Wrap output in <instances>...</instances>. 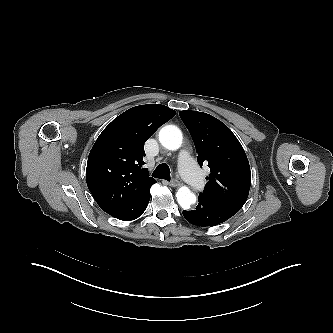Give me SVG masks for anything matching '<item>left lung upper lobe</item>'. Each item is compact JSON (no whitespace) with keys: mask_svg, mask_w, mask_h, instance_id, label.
I'll return each instance as SVG.
<instances>
[{"mask_svg":"<svg viewBox=\"0 0 333 333\" xmlns=\"http://www.w3.org/2000/svg\"><path fill=\"white\" fill-rule=\"evenodd\" d=\"M198 153V163L211 173L199 196L236 214L245 204L251 185L247 156L233 132L217 118L198 111H180Z\"/></svg>","mask_w":333,"mask_h":333,"instance_id":"1","label":"left lung upper lobe"}]
</instances>
